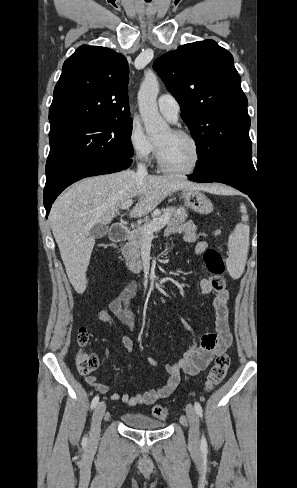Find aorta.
<instances>
[{"label":"aorta","instance_id":"762f6f07","mask_svg":"<svg viewBox=\"0 0 297 488\" xmlns=\"http://www.w3.org/2000/svg\"><path fill=\"white\" fill-rule=\"evenodd\" d=\"M158 93L159 83L156 75L147 72L138 92V104L146 133L150 136H157L168 128V124L158 112Z\"/></svg>","mask_w":297,"mask_h":488}]
</instances>
